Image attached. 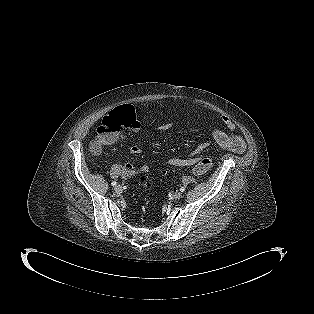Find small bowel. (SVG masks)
<instances>
[{"label":"small bowel","instance_id":"1","mask_svg":"<svg viewBox=\"0 0 314 314\" xmlns=\"http://www.w3.org/2000/svg\"><path fill=\"white\" fill-rule=\"evenodd\" d=\"M222 124L225 126L226 130L223 129H215L212 133L213 139L216 144L223 150H229L232 152L242 153L246 149V144L243 139L237 135L231 133L234 129L233 122L227 118H222ZM172 127V123L166 122L159 125L158 129L160 131H166ZM138 128L133 129L135 132L138 131ZM128 137L125 134L116 135L112 141L104 144L103 146H108L115 143L118 140H127ZM206 147L203 145L195 150L190 156L185 158L173 157L169 160V164L174 167H189L195 165L199 160V153ZM131 155H138L142 152L141 147L134 145L129 150ZM148 167L146 165H142L139 167H134L133 165L127 163L123 167V175L125 177H132L138 173L146 172Z\"/></svg>","mask_w":314,"mask_h":314}]
</instances>
